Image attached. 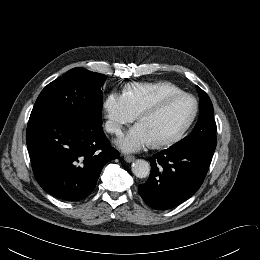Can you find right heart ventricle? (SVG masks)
Wrapping results in <instances>:
<instances>
[{"label": "right heart ventricle", "instance_id": "1", "mask_svg": "<svg viewBox=\"0 0 260 260\" xmlns=\"http://www.w3.org/2000/svg\"><path fill=\"white\" fill-rule=\"evenodd\" d=\"M177 91L180 89L170 82L132 83L124 89L123 96L130 109L138 115L161 96Z\"/></svg>", "mask_w": 260, "mask_h": 260}]
</instances>
